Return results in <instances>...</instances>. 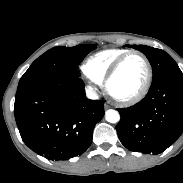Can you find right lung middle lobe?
Instances as JSON below:
<instances>
[{
	"label": "right lung middle lobe",
	"instance_id": "obj_1",
	"mask_svg": "<svg viewBox=\"0 0 183 183\" xmlns=\"http://www.w3.org/2000/svg\"><path fill=\"white\" fill-rule=\"evenodd\" d=\"M95 48L94 44L77 45L75 47H54L46 51L31 64L21 77L20 82L78 75L77 69L79 64Z\"/></svg>",
	"mask_w": 183,
	"mask_h": 183
}]
</instances>
